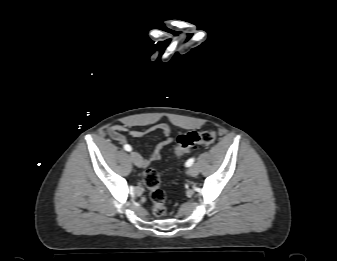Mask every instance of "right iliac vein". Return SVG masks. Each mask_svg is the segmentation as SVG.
I'll return each instance as SVG.
<instances>
[{"label":"right iliac vein","instance_id":"1","mask_svg":"<svg viewBox=\"0 0 337 261\" xmlns=\"http://www.w3.org/2000/svg\"><path fill=\"white\" fill-rule=\"evenodd\" d=\"M130 157H131V160L133 161V163L137 167L141 168L143 166V162H142V158H141L140 154H138L137 152H132L130 154Z\"/></svg>","mask_w":337,"mask_h":261}]
</instances>
